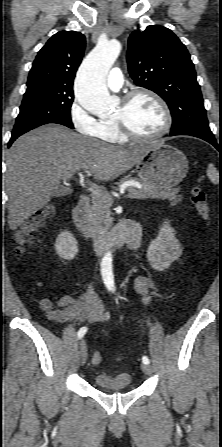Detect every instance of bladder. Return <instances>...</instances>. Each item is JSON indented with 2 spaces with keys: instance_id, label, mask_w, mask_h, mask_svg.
<instances>
[{
  "instance_id": "obj_1",
  "label": "bladder",
  "mask_w": 222,
  "mask_h": 447,
  "mask_svg": "<svg viewBox=\"0 0 222 447\" xmlns=\"http://www.w3.org/2000/svg\"><path fill=\"white\" fill-rule=\"evenodd\" d=\"M95 384L105 391H122L131 388V375L125 371L116 373L99 372L94 376Z\"/></svg>"
}]
</instances>
